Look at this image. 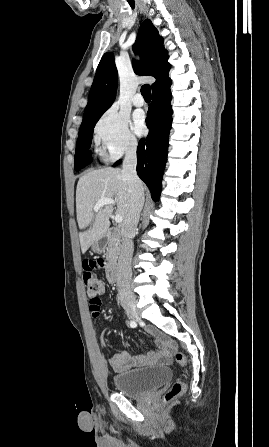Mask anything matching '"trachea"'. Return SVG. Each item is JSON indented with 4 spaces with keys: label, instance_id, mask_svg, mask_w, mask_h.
<instances>
[{
    "label": "trachea",
    "instance_id": "3493384b",
    "mask_svg": "<svg viewBox=\"0 0 269 447\" xmlns=\"http://www.w3.org/2000/svg\"><path fill=\"white\" fill-rule=\"evenodd\" d=\"M141 93L145 100H151V88L150 85H143L141 87Z\"/></svg>",
    "mask_w": 269,
    "mask_h": 447
}]
</instances>
